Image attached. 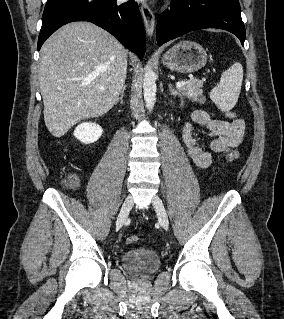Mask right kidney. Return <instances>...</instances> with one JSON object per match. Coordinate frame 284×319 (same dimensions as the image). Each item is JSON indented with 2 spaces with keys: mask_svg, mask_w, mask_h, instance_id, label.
I'll return each mask as SVG.
<instances>
[{
  "mask_svg": "<svg viewBox=\"0 0 284 319\" xmlns=\"http://www.w3.org/2000/svg\"><path fill=\"white\" fill-rule=\"evenodd\" d=\"M103 133L100 125L91 122L79 124L74 130V136L85 144L94 143Z\"/></svg>",
  "mask_w": 284,
  "mask_h": 319,
  "instance_id": "right-kidney-1",
  "label": "right kidney"
}]
</instances>
